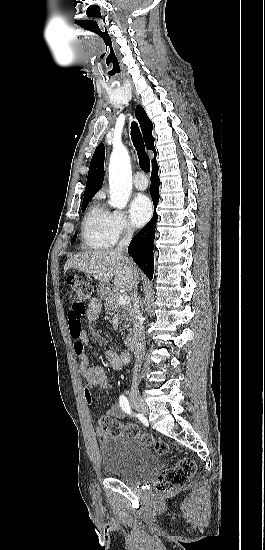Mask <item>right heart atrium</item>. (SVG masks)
<instances>
[{
    "label": "right heart atrium",
    "instance_id": "1",
    "mask_svg": "<svg viewBox=\"0 0 265 550\" xmlns=\"http://www.w3.org/2000/svg\"><path fill=\"white\" fill-rule=\"evenodd\" d=\"M110 228L114 241L130 237L134 233V228L126 214L120 210H115L111 213Z\"/></svg>",
    "mask_w": 265,
    "mask_h": 550
}]
</instances>
